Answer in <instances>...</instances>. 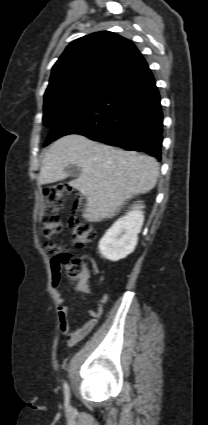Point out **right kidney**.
<instances>
[{
	"label": "right kidney",
	"instance_id": "1",
	"mask_svg": "<svg viewBox=\"0 0 208 425\" xmlns=\"http://www.w3.org/2000/svg\"><path fill=\"white\" fill-rule=\"evenodd\" d=\"M142 208L141 204L133 206L106 231L99 242L100 252L106 259L118 261L134 251L144 221Z\"/></svg>",
	"mask_w": 208,
	"mask_h": 425
}]
</instances>
